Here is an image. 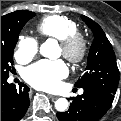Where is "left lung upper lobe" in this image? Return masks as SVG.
Returning a JSON list of instances; mask_svg holds the SVG:
<instances>
[{
	"mask_svg": "<svg viewBox=\"0 0 121 121\" xmlns=\"http://www.w3.org/2000/svg\"><path fill=\"white\" fill-rule=\"evenodd\" d=\"M81 17L91 28L94 41L88 55L86 72L75 86L83 89L97 88L109 94H115L119 83V70L112 46L96 22L84 15Z\"/></svg>",
	"mask_w": 121,
	"mask_h": 121,
	"instance_id": "1",
	"label": "left lung upper lobe"
}]
</instances>
